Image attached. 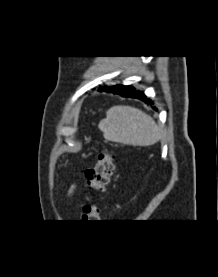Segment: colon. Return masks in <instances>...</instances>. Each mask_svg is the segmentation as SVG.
Segmentation results:
<instances>
[{
    "label": "colon",
    "mask_w": 218,
    "mask_h": 277,
    "mask_svg": "<svg viewBox=\"0 0 218 277\" xmlns=\"http://www.w3.org/2000/svg\"><path fill=\"white\" fill-rule=\"evenodd\" d=\"M115 154L113 152L100 151L93 166L85 170L88 193L83 205L82 220L94 222L98 219L100 208L98 194L105 191L114 171Z\"/></svg>",
    "instance_id": "1"
}]
</instances>
